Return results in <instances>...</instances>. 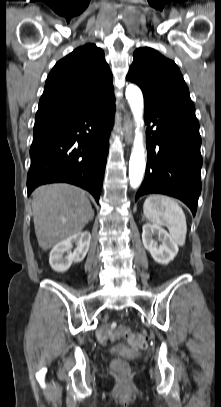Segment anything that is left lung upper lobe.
Listing matches in <instances>:
<instances>
[{"instance_id": "left-lung-upper-lobe-1", "label": "left lung upper lobe", "mask_w": 221, "mask_h": 407, "mask_svg": "<svg viewBox=\"0 0 221 407\" xmlns=\"http://www.w3.org/2000/svg\"><path fill=\"white\" fill-rule=\"evenodd\" d=\"M133 57L126 80L142 89L145 103L192 102L183 76L173 61L149 47L136 49Z\"/></svg>"}]
</instances>
